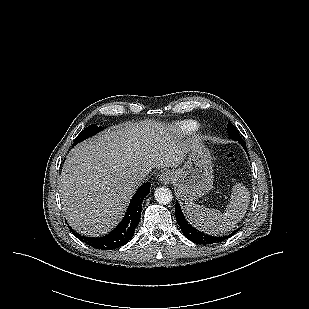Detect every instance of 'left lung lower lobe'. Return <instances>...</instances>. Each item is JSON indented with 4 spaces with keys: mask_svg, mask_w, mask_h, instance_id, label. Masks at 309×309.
I'll return each mask as SVG.
<instances>
[{
    "mask_svg": "<svg viewBox=\"0 0 309 309\" xmlns=\"http://www.w3.org/2000/svg\"><path fill=\"white\" fill-rule=\"evenodd\" d=\"M244 149L246 148V143L245 141L241 140L238 141ZM248 154V153H247ZM175 214H176V220L185 235L187 239L190 241L197 243V244H214V243H220L229 237H231L233 234H235L239 229L235 230L233 233L227 235V236H221V237H214V236H209L206 235L198 230H196L194 227H192L184 218V215L181 211L179 203L176 201V207H175Z\"/></svg>",
    "mask_w": 309,
    "mask_h": 309,
    "instance_id": "0a47b994",
    "label": "left lung lower lobe"
}]
</instances>
